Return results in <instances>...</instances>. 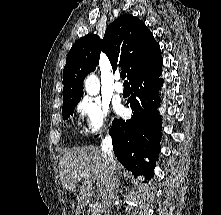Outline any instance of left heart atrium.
I'll list each match as a JSON object with an SVG mask.
<instances>
[{
  "instance_id": "left-heart-atrium-1",
  "label": "left heart atrium",
  "mask_w": 221,
  "mask_h": 215,
  "mask_svg": "<svg viewBox=\"0 0 221 215\" xmlns=\"http://www.w3.org/2000/svg\"><path fill=\"white\" fill-rule=\"evenodd\" d=\"M118 111H119V112H121V111H122V109H121V108H119V109H118Z\"/></svg>"
}]
</instances>
